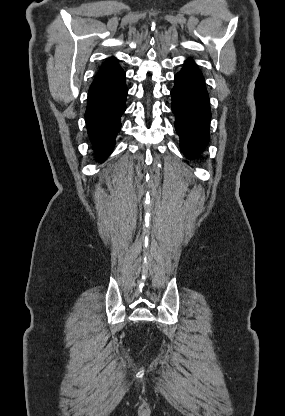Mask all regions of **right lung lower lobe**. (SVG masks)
<instances>
[{
    "mask_svg": "<svg viewBox=\"0 0 285 416\" xmlns=\"http://www.w3.org/2000/svg\"><path fill=\"white\" fill-rule=\"evenodd\" d=\"M127 92L125 72L104 84L90 87L88 91L86 126L100 160L110 154L115 144L121 128L120 117L126 108Z\"/></svg>",
    "mask_w": 285,
    "mask_h": 416,
    "instance_id": "right-lung-lower-lobe-1",
    "label": "right lung lower lobe"
}]
</instances>
